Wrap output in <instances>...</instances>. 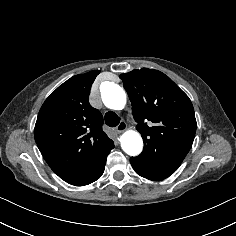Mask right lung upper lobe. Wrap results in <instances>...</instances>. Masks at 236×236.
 Instances as JSON below:
<instances>
[{
  "label": "right lung upper lobe",
  "mask_w": 236,
  "mask_h": 236,
  "mask_svg": "<svg viewBox=\"0 0 236 236\" xmlns=\"http://www.w3.org/2000/svg\"><path fill=\"white\" fill-rule=\"evenodd\" d=\"M99 73L94 70L70 78L39 111L35 141L58 176L91 169L114 148L102 130V114L88 102L91 85Z\"/></svg>",
  "instance_id": "cb5924a9"
}]
</instances>
